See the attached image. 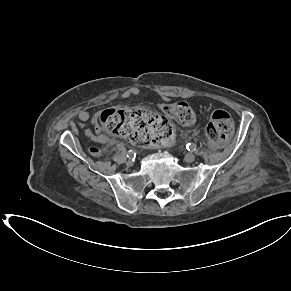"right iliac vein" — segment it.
Returning a JSON list of instances; mask_svg holds the SVG:
<instances>
[{
	"label": "right iliac vein",
	"mask_w": 291,
	"mask_h": 291,
	"mask_svg": "<svg viewBox=\"0 0 291 291\" xmlns=\"http://www.w3.org/2000/svg\"><path fill=\"white\" fill-rule=\"evenodd\" d=\"M133 164H134V162H133L132 160H128V161L126 162V165H127L128 167L133 166Z\"/></svg>",
	"instance_id": "63e3f726"
}]
</instances>
